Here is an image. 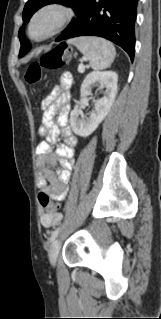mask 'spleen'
Listing matches in <instances>:
<instances>
[{
	"label": "spleen",
	"mask_w": 161,
	"mask_h": 319,
	"mask_svg": "<svg viewBox=\"0 0 161 319\" xmlns=\"http://www.w3.org/2000/svg\"><path fill=\"white\" fill-rule=\"evenodd\" d=\"M72 43L90 61L94 70H101L110 67L113 63L116 50L112 43L99 37H79L72 40Z\"/></svg>",
	"instance_id": "obj_1"
}]
</instances>
